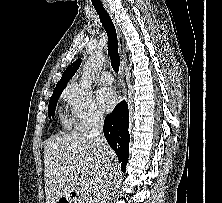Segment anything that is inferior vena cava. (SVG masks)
Instances as JSON below:
<instances>
[{
	"label": "inferior vena cava",
	"instance_id": "602c4592",
	"mask_svg": "<svg viewBox=\"0 0 222 203\" xmlns=\"http://www.w3.org/2000/svg\"><path fill=\"white\" fill-rule=\"evenodd\" d=\"M103 125L104 118L103 114L96 112L93 114L92 118V129L88 135L89 138L97 139L103 145H106V140L103 135ZM105 168L99 175L95 186L93 194V203H107L108 201V189L112 184V179L114 177L115 167L113 162L110 160L106 153L104 152Z\"/></svg>",
	"mask_w": 222,
	"mask_h": 203
}]
</instances>
